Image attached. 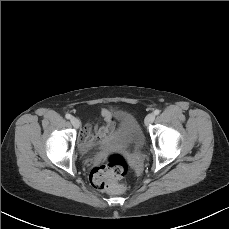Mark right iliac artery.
<instances>
[{
  "mask_svg": "<svg viewBox=\"0 0 229 229\" xmlns=\"http://www.w3.org/2000/svg\"><path fill=\"white\" fill-rule=\"evenodd\" d=\"M65 117H66L67 119H70L72 116H71L70 114H66Z\"/></svg>",
  "mask_w": 229,
  "mask_h": 229,
  "instance_id": "obj_1",
  "label": "right iliac artery"
}]
</instances>
